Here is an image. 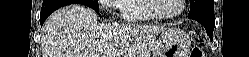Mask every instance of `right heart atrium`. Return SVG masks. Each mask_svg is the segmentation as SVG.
<instances>
[{"label":"right heart atrium","mask_w":249,"mask_h":57,"mask_svg":"<svg viewBox=\"0 0 249 57\" xmlns=\"http://www.w3.org/2000/svg\"><path fill=\"white\" fill-rule=\"evenodd\" d=\"M123 0H114V1H111V0H101V3L103 5H107L108 7L114 9V10H120V5L122 3Z\"/></svg>","instance_id":"d8ad5b80"}]
</instances>
